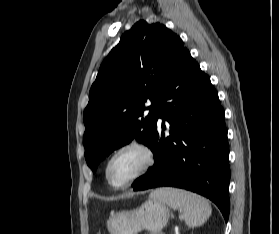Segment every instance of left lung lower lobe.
Returning <instances> with one entry per match:
<instances>
[{"mask_svg": "<svg viewBox=\"0 0 279 234\" xmlns=\"http://www.w3.org/2000/svg\"><path fill=\"white\" fill-rule=\"evenodd\" d=\"M158 118L163 122L156 123L154 165L133 183V189L173 186L199 193L212 200L228 221L230 167L225 113L210 78L186 47L160 91ZM166 128L169 136H165Z\"/></svg>", "mask_w": 279, "mask_h": 234, "instance_id": "obj_1", "label": "left lung lower lobe"}]
</instances>
